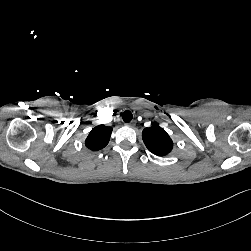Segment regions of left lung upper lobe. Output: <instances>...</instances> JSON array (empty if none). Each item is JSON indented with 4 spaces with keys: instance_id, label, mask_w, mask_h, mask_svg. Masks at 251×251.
I'll return each instance as SVG.
<instances>
[{
    "instance_id": "1",
    "label": "left lung upper lobe",
    "mask_w": 251,
    "mask_h": 251,
    "mask_svg": "<svg viewBox=\"0 0 251 251\" xmlns=\"http://www.w3.org/2000/svg\"><path fill=\"white\" fill-rule=\"evenodd\" d=\"M142 137L149 151L158 156L168 154L173 148L171 138L167 132L157 124L145 128L142 132Z\"/></svg>"
}]
</instances>
